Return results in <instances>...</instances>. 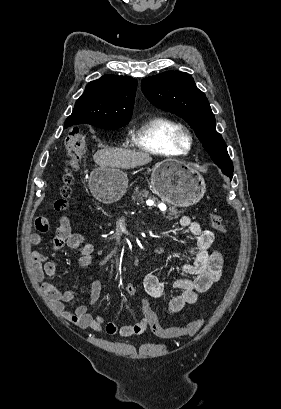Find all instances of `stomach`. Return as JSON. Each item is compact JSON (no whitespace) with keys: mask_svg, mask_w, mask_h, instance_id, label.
Listing matches in <instances>:
<instances>
[{"mask_svg":"<svg viewBox=\"0 0 281 409\" xmlns=\"http://www.w3.org/2000/svg\"><path fill=\"white\" fill-rule=\"evenodd\" d=\"M153 192L175 207H191L203 198L205 180L184 160H161L151 174ZM89 188L97 200L110 205L120 200L128 188L125 172L116 166H97L89 176Z\"/></svg>","mask_w":281,"mask_h":409,"instance_id":"1","label":"stomach"}]
</instances>
